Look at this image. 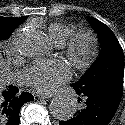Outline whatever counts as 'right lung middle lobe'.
Returning a JSON list of instances; mask_svg holds the SVG:
<instances>
[{"instance_id": "1", "label": "right lung middle lobe", "mask_w": 125, "mask_h": 125, "mask_svg": "<svg viewBox=\"0 0 125 125\" xmlns=\"http://www.w3.org/2000/svg\"><path fill=\"white\" fill-rule=\"evenodd\" d=\"M19 24V22L10 21L7 18H0V40L8 38ZM1 92L0 89V96Z\"/></svg>"}]
</instances>
